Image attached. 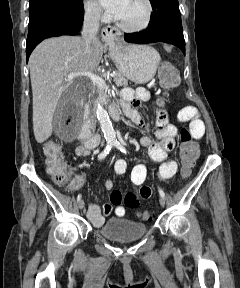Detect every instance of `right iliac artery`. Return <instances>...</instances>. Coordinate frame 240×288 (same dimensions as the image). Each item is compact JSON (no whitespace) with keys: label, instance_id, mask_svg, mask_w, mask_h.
<instances>
[{"label":"right iliac artery","instance_id":"1","mask_svg":"<svg viewBox=\"0 0 240 288\" xmlns=\"http://www.w3.org/2000/svg\"><path fill=\"white\" fill-rule=\"evenodd\" d=\"M113 145H114L113 141H108L107 142V145H106L105 149L99 155V160L104 159L109 154V152L112 149ZM81 197H82L81 194H78V196H77V201L78 202L81 200Z\"/></svg>","mask_w":240,"mask_h":288}]
</instances>
